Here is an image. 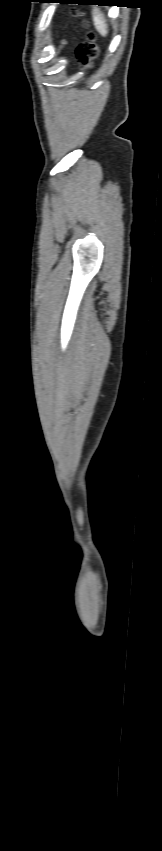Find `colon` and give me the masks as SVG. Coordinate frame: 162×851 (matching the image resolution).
I'll return each mask as SVG.
<instances>
[{
	"label": "colon",
	"instance_id": "5ec220e1",
	"mask_svg": "<svg viewBox=\"0 0 162 851\" xmlns=\"http://www.w3.org/2000/svg\"><path fill=\"white\" fill-rule=\"evenodd\" d=\"M73 16H77V11L72 12ZM84 26L88 28V23L85 21ZM99 49L96 44V36L94 32L88 31L85 42H82L76 49V56L81 62L83 68L90 69L93 61L97 58Z\"/></svg>",
	"mask_w": 162,
	"mask_h": 851
}]
</instances>
